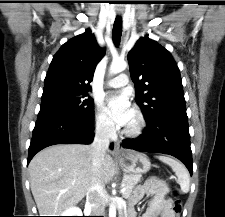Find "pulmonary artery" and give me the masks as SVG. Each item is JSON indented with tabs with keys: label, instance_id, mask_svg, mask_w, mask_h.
I'll list each match as a JSON object with an SVG mask.
<instances>
[{
	"label": "pulmonary artery",
	"instance_id": "1",
	"mask_svg": "<svg viewBox=\"0 0 225 217\" xmlns=\"http://www.w3.org/2000/svg\"><path fill=\"white\" fill-rule=\"evenodd\" d=\"M129 83L127 75L120 74L118 77L111 79L107 82V85L113 88H119L126 86Z\"/></svg>",
	"mask_w": 225,
	"mask_h": 217
}]
</instances>
